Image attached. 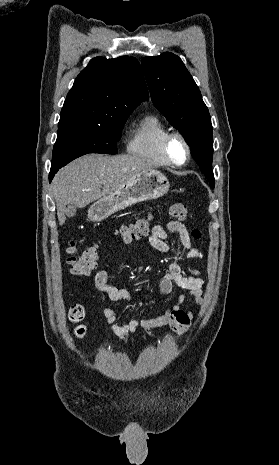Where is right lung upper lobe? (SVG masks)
<instances>
[{"instance_id":"right-lung-upper-lobe-1","label":"right lung upper lobe","mask_w":279,"mask_h":465,"mask_svg":"<svg viewBox=\"0 0 279 465\" xmlns=\"http://www.w3.org/2000/svg\"><path fill=\"white\" fill-rule=\"evenodd\" d=\"M148 99L139 62L128 56L93 58L75 79L61 110L58 127L100 124L114 111H131Z\"/></svg>"}]
</instances>
